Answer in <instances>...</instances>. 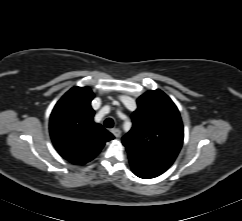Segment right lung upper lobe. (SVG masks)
<instances>
[{"mask_svg": "<svg viewBox=\"0 0 242 221\" xmlns=\"http://www.w3.org/2000/svg\"><path fill=\"white\" fill-rule=\"evenodd\" d=\"M89 87L70 89L55 105L50 116V135L59 154L73 164L94 159L114 136L93 121Z\"/></svg>", "mask_w": 242, "mask_h": 221, "instance_id": "right-lung-upper-lobe-1", "label": "right lung upper lobe"}]
</instances>
